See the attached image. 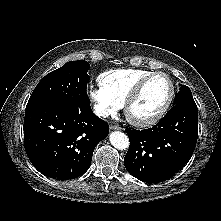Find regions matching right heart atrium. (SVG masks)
Listing matches in <instances>:
<instances>
[{"mask_svg": "<svg viewBox=\"0 0 221 221\" xmlns=\"http://www.w3.org/2000/svg\"><path fill=\"white\" fill-rule=\"evenodd\" d=\"M87 94L93 103L96 114L100 117L105 118L113 115L121 108V104L113 97H111L100 86H90L88 88Z\"/></svg>", "mask_w": 221, "mask_h": 221, "instance_id": "obj_1", "label": "right heart atrium"}]
</instances>
